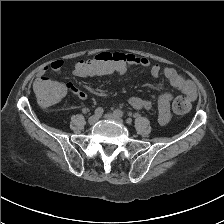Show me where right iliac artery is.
Listing matches in <instances>:
<instances>
[{
    "label": "right iliac artery",
    "mask_w": 224,
    "mask_h": 224,
    "mask_svg": "<svg viewBox=\"0 0 224 224\" xmlns=\"http://www.w3.org/2000/svg\"><path fill=\"white\" fill-rule=\"evenodd\" d=\"M103 112H104L103 108L98 107V108H96L94 113L97 117H100V116H102Z\"/></svg>",
    "instance_id": "1"
}]
</instances>
